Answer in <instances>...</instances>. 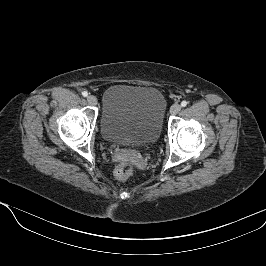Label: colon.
Returning a JSON list of instances; mask_svg holds the SVG:
<instances>
[{"label": "colon", "instance_id": "1", "mask_svg": "<svg viewBox=\"0 0 266 266\" xmlns=\"http://www.w3.org/2000/svg\"><path fill=\"white\" fill-rule=\"evenodd\" d=\"M133 169V164L130 161H122L115 168V177L120 181H124L132 174Z\"/></svg>", "mask_w": 266, "mask_h": 266}]
</instances>
